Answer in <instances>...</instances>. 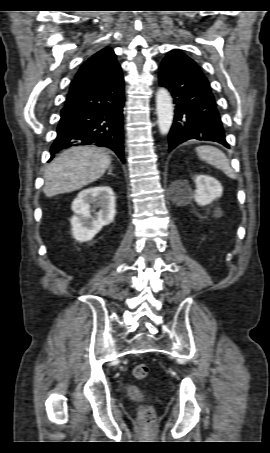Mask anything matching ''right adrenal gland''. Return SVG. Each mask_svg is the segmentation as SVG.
<instances>
[{
	"label": "right adrenal gland",
	"instance_id": "2a0ac1e0",
	"mask_svg": "<svg viewBox=\"0 0 270 453\" xmlns=\"http://www.w3.org/2000/svg\"><path fill=\"white\" fill-rule=\"evenodd\" d=\"M109 175H113L115 176L113 173H112V169H109V172H108Z\"/></svg>",
	"mask_w": 270,
	"mask_h": 453
}]
</instances>
